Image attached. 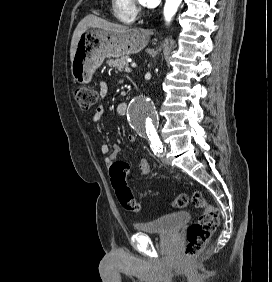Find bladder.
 I'll list each match as a JSON object with an SVG mask.
<instances>
[{
    "instance_id": "obj_1",
    "label": "bladder",
    "mask_w": 272,
    "mask_h": 282,
    "mask_svg": "<svg viewBox=\"0 0 272 282\" xmlns=\"http://www.w3.org/2000/svg\"><path fill=\"white\" fill-rule=\"evenodd\" d=\"M190 218V213L180 211L151 221L136 222L134 227L143 233L172 234L177 232Z\"/></svg>"
}]
</instances>
